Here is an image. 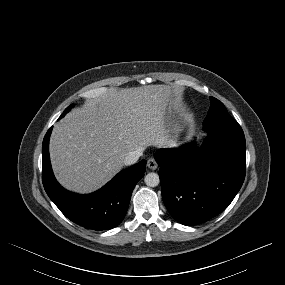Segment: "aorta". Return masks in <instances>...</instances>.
Segmentation results:
<instances>
[{"label": "aorta", "mask_w": 285, "mask_h": 285, "mask_svg": "<svg viewBox=\"0 0 285 285\" xmlns=\"http://www.w3.org/2000/svg\"><path fill=\"white\" fill-rule=\"evenodd\" d=\"M145 184L149 187H156L160 183L159 176L156 173H148L144 178Z\"/></svg>", "instance_id": "aorta-1"}]
</instances>
